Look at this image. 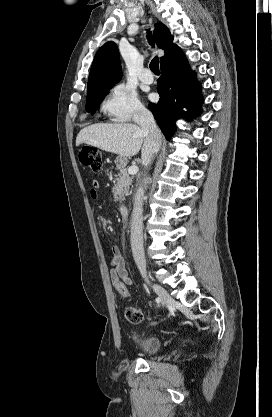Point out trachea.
I'll list each match as a JSON object with an SVG mask.
<instances>
[{
  "label": "trachea",
  "mask_w": 272,
  "mask_h": 417,
  "mask_svg": "<svg viewBox=\"0 0 272 417\" xmlns=\"http://www.w3.org/2000/svg\"><path fill=\"white\" fill-rule=\"evenodd\" d=\"M147 38H148V42H149V44H150L152 47H154V42H153V39H152V36H151V33H150V32H148V34H147ZM150 69H151V71H152L154 74H159V60H158L157 56H155V57L152 59V61H151V63H150Z\"/></svg>",
  "instance_id": "1"
}]
</instances>
